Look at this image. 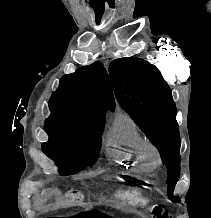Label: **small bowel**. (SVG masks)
<instances>
[{
  "mask_svg": "<svg viewBox=\"0 0 211 218\" xmlns=\"http://www.w3.org/2000/svg\"><path fill=\"white\" fill-rule=\"evenodd\" d=\"M60 194L59 191L57 190H45L39 193L35 197V202L37 205H42L44 204L50 197L52 196H58Z\"/></svg>",
  "mask_w": 211,
  "mask_h": 218,
  "instance_id": "obj_1",
  "label": "small bowel"
}]
</instances>
